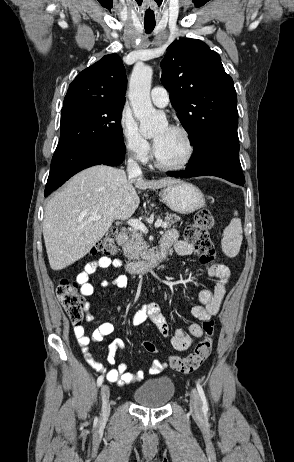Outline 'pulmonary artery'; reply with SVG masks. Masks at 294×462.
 I'll use <instances>...</instances> for the list:
<instances>
[{
  "instance_id": "pulmonary-artery-1",
  "label": "pulmonary artery",
  "mask_w": 294,
  "mask_h": 462,
  "mask_svg": "<svg viewBox=\"0 0 294 462\" xmlns=\"http://www.w3.org/2000/svg\"><path fill=\"white\" fill-rule=\"evenodd\" d=\"M152 102L158 107H165L169 103V93L161 86L152 88L150 92Z\"/></svg>"
}]
</instances>
